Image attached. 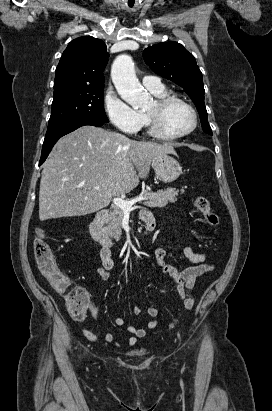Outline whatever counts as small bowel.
I'll return each instance as SVG.
<instances>
[{"label": "small bowel", "mask_w": 272, "mask_h": 411, "mask_svg": "<svg viewBox=\"0 0 272 411\" xmlns=\"http://www.w3.org/2000/svg\"><path fill=\"white\" fill-rule=\"evenodd\" d=\"M151 216L148 211H141L140 217L143 221H146L147 217ZM155 227V226H154ZM154 229V228H153ZM184 256L194 265L186 267L184 269H179L175 266L169 265L165 261L166 251L163 248H157L155 250V260L157 265L160 267L161 271L167 275L176 285L179 298L186 306L187 301H190V307L192 309L194 306V297L191 293L196 281L205 273L212 269V265L205 262L206 254L205 252H195L189 246L185 247L183 250ZM101 266L96 269L97 275L103 281L110 280V272L114 268V260L112 258V253L110 249L102 248L100 251ZM89 309L92 316L97 319L99 310L94 302H90ZM135 314L139 315L142 313V309L139 307L134 308ZM145 313L150 317V319L142 327L128 326L127 331L131 336L125 341V348H133L137 344L138 338H142L146 335L148 330L156 329L159 325L157 316L159 310L156 307H149L145 310ZM113 322L117 326H123L125 320L122 317L116 316L113 318ZM81 334L89 341H104L106 343L116 344L121 346L119 343L114 341V336L111 333H105L101 336L93 333L88 329H82Z\"/></svg>", "instance_id": "obj_1"}]
</instances>
